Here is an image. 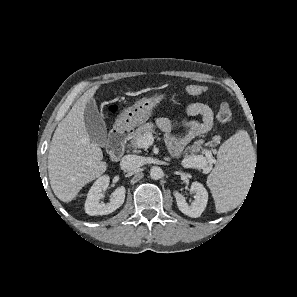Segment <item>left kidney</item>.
Instances as JSON below:
<instances>
[{
  "label": "left kidney",
  "mask_w": 297,
  "mask_h": 297,
  "mask_svg": "<svg viewBox=\"0 0 297 297\" xmlns=\"http://www.w3.org/2000/svg\"><path fill=\"white\" fill-rule=\"evenodd\" d=\"M191 190L195 193V200L191 205L187 204L185 197L178 191H174V196L176 198L177 206L182 213L197 218L205 210L208 201V192L199 182H193Z\"/></svg>",
  "instance_id": "5707ae66"
}]
</instances>
